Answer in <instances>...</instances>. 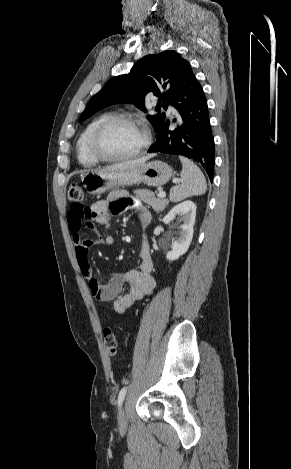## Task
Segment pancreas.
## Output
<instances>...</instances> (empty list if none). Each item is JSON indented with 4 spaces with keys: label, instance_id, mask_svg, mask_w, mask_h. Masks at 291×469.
<instances>
[{
    "label": "pancreas",
    "instance_id": "pancreas-1",
    "mask_svg": "<svg viewBox=\"0 0 291 469\" xmlns=\"http://www.w3.org/2000/svg\"><path fill=\"white\" fill-rule=\"evenodd\" d=\"M136 199L148 204L156 212H161L168 205L169 201L165 198H156L155 194L148 189H140L134 191Z\"/></svg>",
    "mask_w": 291,
    "mask_h": 469
}]
</instances>
